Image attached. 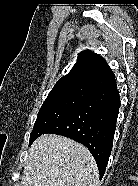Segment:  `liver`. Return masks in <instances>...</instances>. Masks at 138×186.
<instances>
[{"label": "liver", "instance_id": "obj_1", "mask_svg": "<svg viewBox=\"0 0 138 186\" xmlns=\"http://www.w3.org/2000/svg\"><path fill=\"white\" fill-rule=\"evenodd\" d=\"M23 186H99L98 169L89 150L54 134L41 135L31 145Z\"/></svg>", "mask_w": 138, "mask_h": 186}]
</instances>
